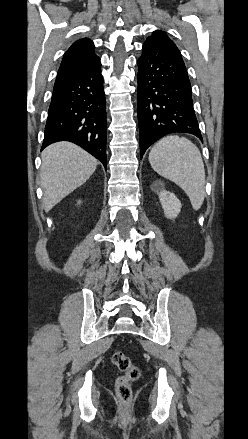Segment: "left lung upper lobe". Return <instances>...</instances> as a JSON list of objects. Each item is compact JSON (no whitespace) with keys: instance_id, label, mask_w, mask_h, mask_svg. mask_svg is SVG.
Here are the masks:
<instances>
[{"instance_id":"left-lung-upper-lobe-1","label":"left lung upper lobe","mask_w":248,"mask_h":439,"mask_svg":"<svg viewBox=\"0 0 248 439\" xmlns=\"http://www.w3.org/2000/svg\"><path fill=\"white\" fill-rule=\"evenodd\" d=\"M146 42L164 46L180 54V51L178 50L174 42L162 31L157 30L153 32V34L147 38Z\"/></svg>"}]
</instances>
